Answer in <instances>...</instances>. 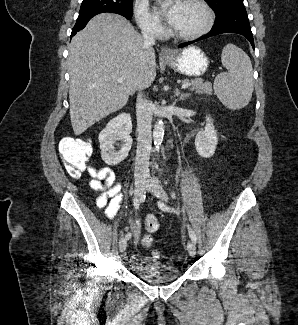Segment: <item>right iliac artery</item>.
<instances>
[{
    "instance_id": "1",
    "label": "right iliac artery",
    "mask_w": 298,
    "mask_h": 325,
    "mask_svg": "<svg viewBox=\"0 0 298 325\" xmlns=\"http://www.w3.org/2000/svg\"><path fill=\"white\" fill-rule=\"evenodd\" d=\"M134 206H135L136 209H138V207H139V201H138V199H135L134 200ZM130 238H131V233L129 232L128 234H126L125 239L128 240Z\"/></svg>"
}]
</instances>
